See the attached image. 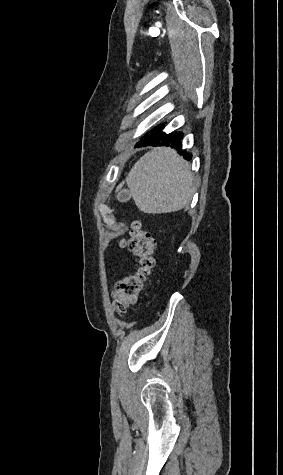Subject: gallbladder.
I'll return each instance as SVG.
<instances>
[{
    "mask_svg": "<svg viewBox=\"0 0 283 475\" xmlns=\"http://www.w3.org/2000/svg\"><path fill=\"white\" fill-rule=\"evenodd\" d=\"M131 196H130V192H128V190H121V192H119L118 196H117V200H119V202H128V200H130Z\"/></svg>",
    "mask_w": 283,
    "mask_h": 475,
    "instance_id": "bac80fb5",
    "label": "gallbladder"
}]
</instances>
